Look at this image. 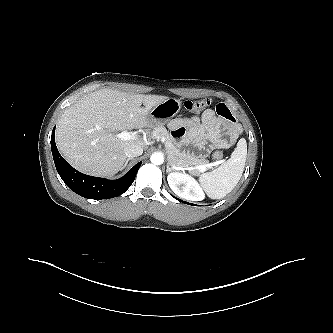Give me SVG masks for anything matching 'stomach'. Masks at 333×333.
<instances>
[{
	"label": "stomach",
	"instance_id": "0dacf381",
	"mask_svg": "<svg viewBox=\"0 0 333 333\" xmlns=\"http://www.w3.org/2000/svg\"><path fill=\"white\" fill-rule=\"evenodd\" d=\"M180 109L181 101L168 97L149 111L148 119L152 125L165 124L176 116Z\"/></svg>",
	"mask_w": 333,
	"mask_h": 333
}]
</instances>
